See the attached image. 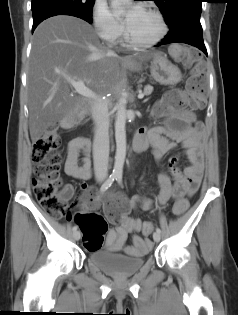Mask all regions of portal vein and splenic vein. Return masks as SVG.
I'll list each match as a JSON object with an SVG mask.
<instances>
[{
  "label": "portal vein and splenic vein",
  "mask_w": 238,
  "mask_h": 315,
  "mask_svg": "<svg viewBox=\"0 0 238 315\" xmlns=\"http://www.w3.org/2000/svg\"><path fill=\"white\" fill-rule=\"evenodd\" d=\"M69 83L74 87L75 91L78 94H80L84 97H88V98H95L96 97V94L91 89L86 87L83 81L69 80ZM143 97H144L143 93L138 94L139 99H142Z\"/></svg>",
  "instance_id": "18ae733b"
}]
</instances>
